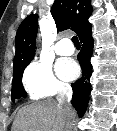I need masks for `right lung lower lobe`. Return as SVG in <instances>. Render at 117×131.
<instances>
[{
  "mask_svg": "<svg viewBox=\"0 0 117 131\" xmlns=\"http://www.w3.org/2000/svg\"><path fill=\"white\" fill-rule=\"evenodd\" d=\"M82 43L81 52L78 54V60L82 68V77L73 83L72 105L76 108L79 117H82L86 111L91 92L90 76L92 66L90 58L93 51V38L91 32L80 38Z\"/></svg>",
  "mask_w": 117,
  "mask_h": 131,
  "instance_id": "obj_1",
  "label": "right lung lower lobe"
}]
</instances>
